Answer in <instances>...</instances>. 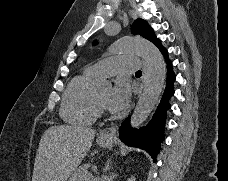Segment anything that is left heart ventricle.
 Listing matches in <instances>:
<instances>
[{
	"mask_svg": "<svg viewBox=\"0 0 228 181\" xmlns=\"http://www.w3.org/2000/svg\"><path fill=\"white\" fill-rule=\"evenodd\" d=\"M105 79L110 80V85H109V87L104 88V89H101V90L98 91L99 100H100L103 104H105V103L107 102L108 97H109L110 92H111V88H112V86L114 85V83L111 81V79H110L109 77H102V78L99 79V81H103V80H105Z\"/></svg>",
	"mask_w": 228,
	"mask_h": 181,
	"instance_id": "obj_1",
	"label": "left heart ventricle"
}]
</instances>
